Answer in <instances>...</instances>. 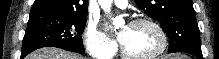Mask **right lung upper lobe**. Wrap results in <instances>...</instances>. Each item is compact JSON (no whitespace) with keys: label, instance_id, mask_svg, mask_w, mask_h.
<instances>
[{"label":"right lung upper lobe","instance_id":"cb5924a9","mask_svg":"<svg viewBox=\"0 0 219 59\" xmlns=\"http://www.w3.org/2000/svg\"><path fill=\"white\" fill-rule=\"evenodd\" d=\"M87 15V0H35L30 13Z\"/></svg>","mask_w":219,"mask_h":59}]
</instances>
